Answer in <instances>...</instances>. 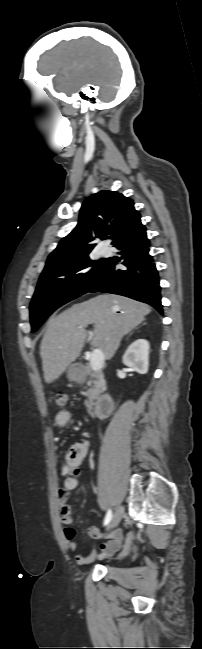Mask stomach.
<instances>
[{"label":"stomach","mask_w":202,"mask_h":649,"mask_svg":"<svg viewBox=\"0 0 202 649\" xmlns=\"http://www.w3.org/2000/svg\"><path fill=\"white\" fill-rule=\"evenodd\" d=\"M81 370L76 365H71L67 370V376L70 381H79Z\"/></svg>","instance_id":"obj_1"}]
</instances>
